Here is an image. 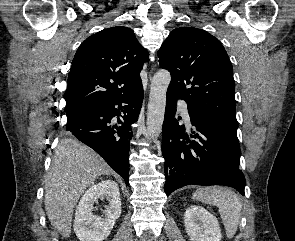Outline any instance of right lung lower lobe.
<instances>
[{
	"instance_id": "1",
	"label": "right lung lower lobe",
	"mask_w": 295,
	"mask_h": 241,
	"mask_svg": "<svg viewBox=\"0 0 295 241\" xmlns=\"http://www.w3.org/2000/svg\"><path fill=\"white\" fill-rule=\"evenodd\" d=\"M142 100L140 84L127 94L91 103L67 115L66 131L100 154L127 185L131 124L138 119Z\"/></svg>"
}]
</instances>
